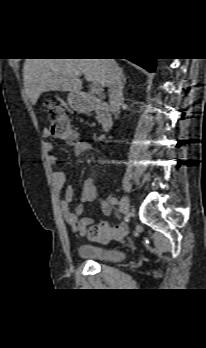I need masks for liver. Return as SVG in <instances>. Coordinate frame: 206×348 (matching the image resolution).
<instances>
[{
  "mask_svg": "<svg viewBox=\"0 0 206 348\" xmlns=\"http://www.w3.org/2000/svg\"><path fill=\"white\" fill-rule=\"evenodd\" d=\"M82 74L87 81L108 85L105 59H26L23 67L24 87L34 105L46 91L79 93Z\"/></svg>",
  "mask_w": 206,
  "mask_h": 348,
  "instance_id": "6515ba94",
  "label": "liver"
}]
</instances>
